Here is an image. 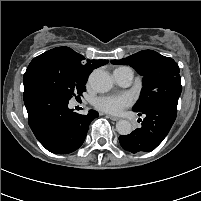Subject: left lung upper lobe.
<instances>
[{"mask_svg": "<svg viewBox=\"0 0 201 201\" xmlns=\"http://www.w3.org/2000/svg\"><path fill=\"white\" fill-rule=\"evenodd\" d=\"M111 63L130 65L143 76V88L134 111L142 112L158 103L178 104L181 78L179 66L172 58L145 50Z\"/></svg>", "mask_w": 201, "mask_h": 201, "instance_id": "1", "label": "left lung upper lobe"}]
</instances>
